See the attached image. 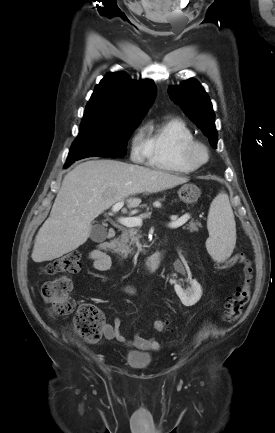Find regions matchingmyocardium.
Instances as JSON below:
<instances>
[{"mask_svg": "<svg viewBox=\"0 0 275 433\" xmlns=\"http://www.w3.org/2000/svg\"><path fill=\"white\" fill-rule=\"evenodd\" d=\"M183 158L187 163L201 167L209 161V149L203 142L194 140L184 146Z\"/></svg>", "mask_w": 275, "mask_h": 433, "instance_id": "obj_1", "label": "myocardium"}]
</instances>
